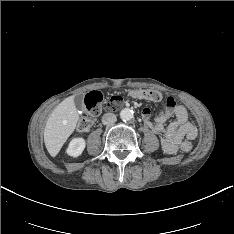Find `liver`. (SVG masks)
I'll return each instance as SVG.
<instances>
[{
	"instance_id": "6515ba94",
	"label": "liver",
	"mask_w": 234,
	"mask_h": 234,
	"mask_svg": "<svg viewBox=\"0 0 234 234\" xmlns=\"http://www.w3.org/2000/svg\"><path fill=\"white\" fill-rule=\"evenodd\" d=\"M79 115L74 96L64 99L51 113L44 129V143L51 156H56L73 133Z\"/></svg>"
}]
</instances>
